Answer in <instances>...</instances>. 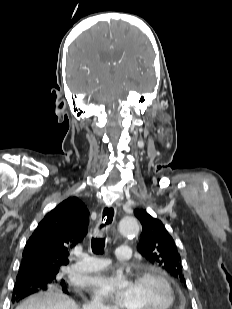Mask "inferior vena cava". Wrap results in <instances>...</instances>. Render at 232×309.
Returning <instances> with one entry per match:
<instances>
[{
    "label": "inferior vena cava",
    "mask_w": 232,
    "mask_h": 309,
    "mask_svg": "<svg viewBox=\"0 0 232 309\" xmlns=\"http://www.w3.org/2000/svg\"><path fill=\"white\" fill-rule=\"evenodd\" d=\"M84 309H105L98 300H94L90 305L84 307Z\"/></svg>",
    "instance_id": "obj_1"
}]
</instances>
